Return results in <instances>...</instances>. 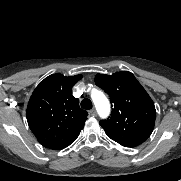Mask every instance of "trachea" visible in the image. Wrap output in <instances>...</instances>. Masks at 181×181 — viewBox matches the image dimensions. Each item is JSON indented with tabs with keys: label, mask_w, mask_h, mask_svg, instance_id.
<instances>
[{
	"label": "trachea",
	"mask_w": 181,
	"mask_h": 181,
	"mask_svg": "<svg viewBox=\"0 0 181 181\" xmlns=\"http://www.w3.org/2000/svg\"><path fill=\"white\" fill-rule=\"evenodd\" d=\"M81 108L89 110L92 109V102L89 99H83L81 101Z\"/></svg>",
	"instance_id": "3493384b"
}]
</instances>
